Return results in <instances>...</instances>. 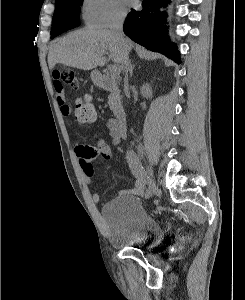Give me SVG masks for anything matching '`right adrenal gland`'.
I'll use <instances>...</instances> for the list:
<instances>
[{
    "mask_svg": "<svg viewBox=\"0 0 245 300\" xmlns=\"http://www.w3.org/2000/svg\"><path fill=\"white\" fill-rule=\"evenodd\" d=\"M134 67H135V65L131 64V62H130L129 63V73H130V76H132V74H133Z\"/></svg>",
    "mask_w": 245,
    "mask_h": 300,
    "instance_id": "1",
    "label": "right adrenal gland"
}]
</instances>
